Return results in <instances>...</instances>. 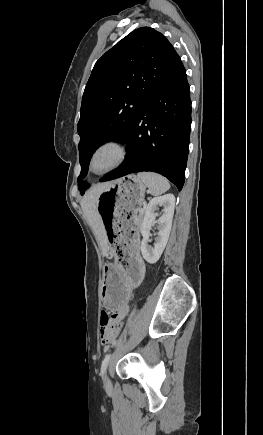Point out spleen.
<instances>
[{"label":"spleen","instance_id":"spleen-1","mask_svg":"<svg viewBox=\"0 0 263 435\" xmlns=\"http://www.w3.org/2000/svg\"><path fill=\"white\" fill-rule=\"evenodd\" d=\"M137 178L148 187L152 195H160L170 188L166 178L153 172H140Z\"/></svg>","mask_w":263,"mask_h":435}]
</instances>
